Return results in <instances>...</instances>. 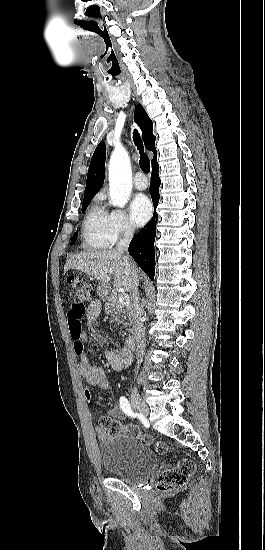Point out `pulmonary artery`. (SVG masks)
Segmentation results:
<instances>
[{
	"mask_svg": "<svg viewBox=\"0 0 265 550\" xmlns=\"http://www.w3.org/2000/svg\"><path fill=\"white\" fill-rule=\"evenodd\" d=\"M134 187L138 190H145L148 187V181L142 172H138L133 180Z\"/></svg>",
	"mask_w": 265,
	"mask_h": 550,
	"instance_id": "obj_1",
	"label": "pulmonary artery"
}]
</instances>
